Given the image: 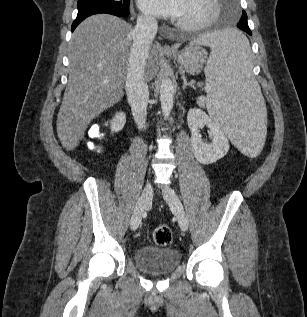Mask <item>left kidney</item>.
<instances>
[{
	"label": "left kidney",
	"mask_w": 307,
	"mask_h": 317,
	"mask_svg": "<svg viewBox=\"0 0 307 317\" xmlns=\"http://www.w3.org/2000/svg\"><path fill=\"white\" fill-rule=\"evenodd\" d=\"M188 126L191 130V145L194 156L202 164H211L224 157L229 150V141L220 127L203 110L193 108L188 111ZM210 129L211 143L204 142L199 129Z\"/></svg>",
	"instance_id": "left-kidney-1"
}]
</instances>
